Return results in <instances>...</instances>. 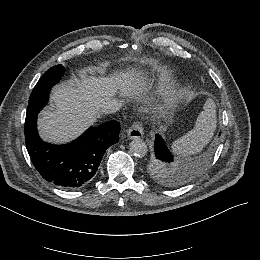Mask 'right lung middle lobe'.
<instances>
[{
    "label": "right lung middle lobe",
    "mask_w": 260,
    "mask_h": 260,
    "mask_svg": "<svg viewBox=\"0 0 260 260\" xmlns=\"http://www.w3.org/2000/svg\"><path fill=\"white\" fill-rule=\"evenodd\" d=\"M64 71V67L59 64L47 70V72L41 77L29 98L26 122L37 117L38 112L48 100L51 87L60 80Z\"/></svg>",
    "instance_id": "dd1d6c3e"
}]
</instances>
